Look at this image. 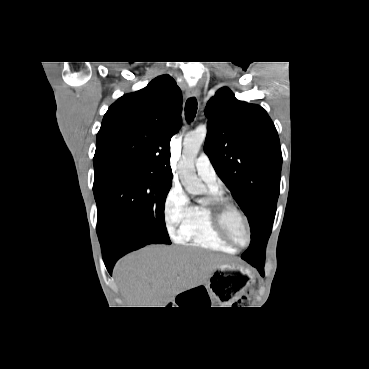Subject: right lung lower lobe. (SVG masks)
<instances>
[{"instance_id": "1", "label": "right lung lower lobe", "mask_w": 369, "mask_h": 369, "mask_svg": "<svg viewBox=\"0 0 369 369\" xmlns=\"http://www.w3.org/2000/svg\"><path fill=\"white\" fill-rule=\"evenodd\" d=\"M100 244L105 266L112 275L113 266L120 257L150 243L136 232L122 229L112 232L105 240L100 241Z\"/></svg>"}]
</instances>
